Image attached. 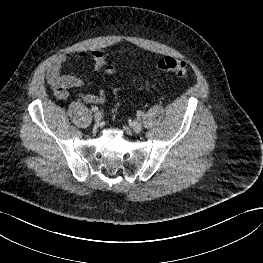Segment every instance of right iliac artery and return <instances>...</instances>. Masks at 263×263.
Returning a JSON list of instances; mask_svg holds the SVG:
<instances>
[{
  "label": "right iliac artery",
  "instance_id": "82829eb1",
  "mask_svg": "<svg viewBox=\"0 0 263 263\" xmlns=\"http://www.w3.org/2000/svg\"><path fill=\"white\" fill-rule=\"evenodd\" d=\"M91 110H92L93 112H96V111H98V107L92 106Z\"/></svg>",
  "mask_w": 263,
  "mask_h": 263
}]
</instances>
